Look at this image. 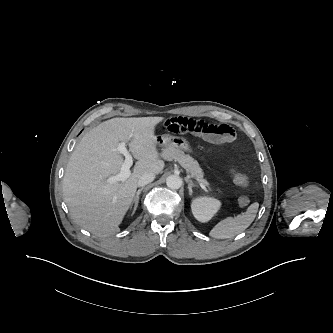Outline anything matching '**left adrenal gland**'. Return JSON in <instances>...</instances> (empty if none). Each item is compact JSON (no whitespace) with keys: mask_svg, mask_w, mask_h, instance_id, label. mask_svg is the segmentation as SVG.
Returning <instances> with one entry per match:
<instances>
[{"mask_svg":"<svg viewBox=\"0 0 333 333\" xmlns=\"http://www.w3.org/2000/svg\"><path fill=\"white\" fill-rule=\"evenodd\" d=\"M186 182L188 183V190H189V195L192 196L193 190L192 187H196L195 184L191 180L186 179Z\"/></svg>","mask_w":333,"mask_h":333,"instance_id":"a2214340","label":"left adrenal gland"}]
</instances>
